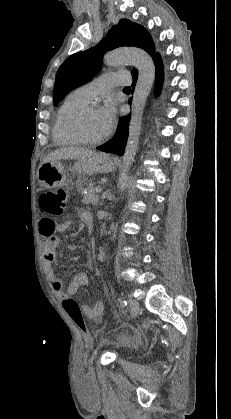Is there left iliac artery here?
Here are the masks:
<instances>
[{
    "label": "left iliac artery",
    "instance_id": "left-iliac-artery-1",
    "mask_svg": "<svg viewBox=\"0 0 231 419\" xmlns=\"http://www.w3.org/2000/svg\"><path fill=\"white\" fill-rule=\"evenodd\" d=\"M120 305H121L122 307L127 306V301H126V300H121V301H120Z\"/></svg>",
    "mask_w": 231,
    "mask_h": 419
}]
</instances>
